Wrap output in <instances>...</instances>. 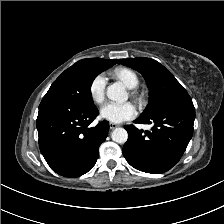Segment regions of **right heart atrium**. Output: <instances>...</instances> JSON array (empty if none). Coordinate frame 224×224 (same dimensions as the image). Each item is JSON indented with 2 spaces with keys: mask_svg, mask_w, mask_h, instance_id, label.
<instances>
[{
  "mask_svg": "<svg viewBox=\"0 0 224 224\" xmlns=\"http://www.w3.org/2000/svg\"><path fill=\"white\" fill-rule=\"evenodd\" d=\"M106 85H107V78L103 73L97 74L91 80L89 85V94L92 101L95 104L100 105L104 102Z\"/></svg>",
  "mask_w": 224,
  "mask_h": 224,
  "instance_id": "d8ad5b80",
  "label": "right heart atrium"
}]
</instances>
